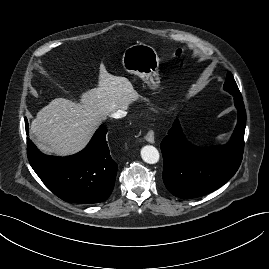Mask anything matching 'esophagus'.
Returning <instances> with one entry per match:
<instances>
[{
	"instance_id": "34e87169",
	"label": "esophagus",
	"mask_w": 269,
	"mask_h": 269,
	"mask_svg": "<svg viewBox=\"0 0 269 269\" xmlns=\"http://www.w3.org/2000/svg\"><path fill=\"white\" fill-rule=\"evenodd\" d=\"M145 139L149 143H154L155 142V135L153 130H149L148 133L145 136Z\"/></svg>"
}]
</instances>
